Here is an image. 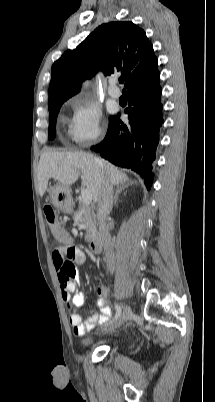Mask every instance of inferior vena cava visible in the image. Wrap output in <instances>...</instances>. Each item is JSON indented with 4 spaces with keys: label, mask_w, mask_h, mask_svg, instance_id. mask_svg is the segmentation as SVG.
Masks as SVG:
<instances>
[{
    "label": "inferior vena cava",
    "mask_w": 215,
    "mask_h": 402,
    "mask_svg": "<svg viewBox=\"0 0 215 402\" xmlns=\"http://www.w3.org/2000/svg\"><path fill=\"white\" fill-rule=\"evenodd\" d=\"M113 188L107 175L102 174L100 194L98 197L97 220L99 224V234L103 241L105 250V259L108 270L113 273L115 268V256L113 243L111 241L108 229L106 227V217L112 210Z\"/></svg>",
    "instance_id": "1"
}]
</instances>
